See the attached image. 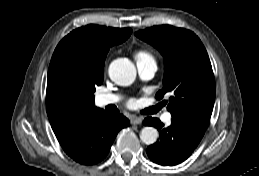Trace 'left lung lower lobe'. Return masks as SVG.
<instances>
[{
  "instance_id": "0a47b994",
  "label": "left lung lower lobe",
  "mask_w": 259,
  "mask_h": 176,
  "mask_svg": "<svg viewBox=\"0 0 259 176\" xmlns=\"http://www.w3.org/2000/svg\"><path fill=\"white\" fill-rule=\"evenodd\" d=\"M171 125L157 118H146L145 125L154 126L160 132V140L147 148L149 158L163 166H173L186 160L200 143L207 127L172 117Z\"/></svg>"
}]
</instances>
